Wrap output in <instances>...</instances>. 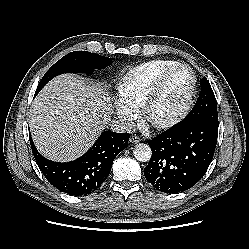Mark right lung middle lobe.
I'll return each instance as SVG.
<instances>
[{
    "instance_id": "dd1d6c3e",
    "label": "right lung middle lobe",
    "mask_w": 249,
    "mask_h": 249,
    "mask_svg": "<svg viewBox=\"0 0 249 249\" xmlns=\"http://www.w3.org/2000/svg\"><path fill=\"white\" fill-rule=\"evenodd\" d=\"M112 58H107L87 51L70 52L58 60L43 76L37 86L36 94L52 78L63 73L92 74L93 70H100L112 64Z\"/></svg>"
}]
</instances>
